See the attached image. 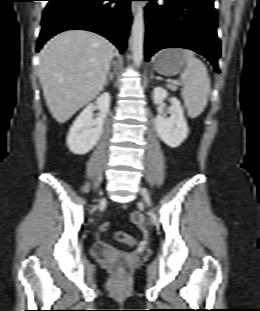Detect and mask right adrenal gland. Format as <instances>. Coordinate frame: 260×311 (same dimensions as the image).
<instances>
[{
	"label": "right adrenal gland",
	"instance_id": "1",
	"mask_svg": "<svg viewBox=\"0 0 260 311\" xmlns=\"http://www.w3.org/2000/svg\"><path fill=\"white\" fill-rule=\"evenodd\" d=\"M114 76H115V72H110L108 74V78L106 79V82H105L104 86H108L109 82L114 79Z\"/></svg>",
	"mask_w": 260,
	"mask_h": 311
}]
</instances>
